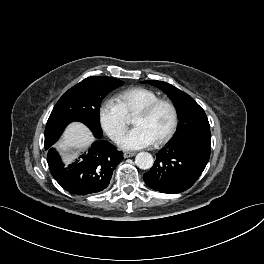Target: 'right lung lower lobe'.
Here are the masks:
<instances>
[{"mask_svg": "<svg viewBox=\"0 0 264 264\" xmlns=\"http://www.w3.org/2000/svg\"><path fill=\"white\" fill-rule=\"evenodd\" d=\"M96 137V136H95ZM98 138L87 153L76 162L64 166L59 154L51 146L47 162L54 179L71 194L86 195L104 190L110 182L113 170L123 160V153L109 142Z\"/></svg>", "mask_w": 264, "mask_h": 264, "instance_id": "98d812e1", "label": "right lung lower lobe"}]
</instances>
